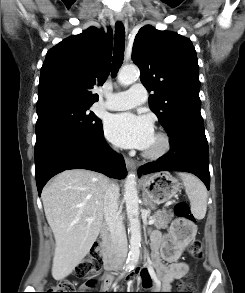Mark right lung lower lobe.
<instances>
[{
	"label": "right lung lower lobe",
	"mask_w": 245,
	"mask_h": 293,
	"mask_svg": "<svg viewBox=\"0 0 245 293\" xmlns=\"http://www.w3.org/2000/svg\"><path fill=\"white\" fill-rule=\"evenodd\" d=\"M36 183L39 196L54 175L70 169H88L123 179L125 161L106 143L102 127L89 135L54 140L35 153Z\"/></svg>",
	"instance_id": "right-lung-lower-lobe-1"
}]
</instances>
